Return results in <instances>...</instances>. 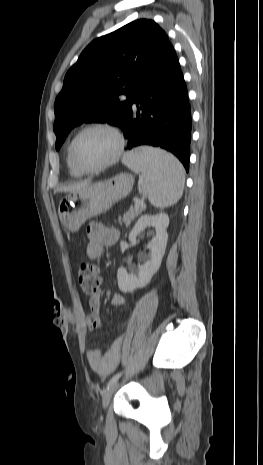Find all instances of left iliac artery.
I'll list each match as a JSON object with an SVG mask.
<instances>
[{
  "instance_id": "obj_1",
  "label": "left iliac artery",
  "mask_w": 263,
  "mask_h": 465,
  "mask_svg": "<svg viewBox=\"0 0 263 465\" xmlns=\"http://www.w3.org/2000/svg\"><path fill=\"white\" fill-rule=\"evenodd\" d=\"M121 374H122V372H119V373H117L116 375H114V376L110 379V381L108 382L107 386H109V385L112 384L113 382L117 381V380L120 378Z\"/></svg>"
}]
</instances>
